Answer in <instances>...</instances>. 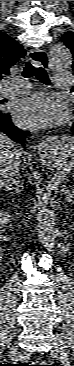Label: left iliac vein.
I'll return each mask as SVG.
<instances>
[{
	"instance_id": "left-iliac-vein-1",
	"label": "left iliac vein",
	"mask_w": 74,
	"mask_h": 366,
	"mask_svg": "<svg viewBox=\"0 0 74 366\" xmlns=\"http://www.w3.org/2000/svg\"><path fill=\"white\" fill-rule=\"evenodd\" d=\"M55 350L60 352V354L66 358L67 357V347L65 343L59 339L58 336L55 337Z\"/></svg>"
}]
</instances>
